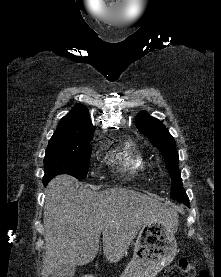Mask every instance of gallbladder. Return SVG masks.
Segmentation results:
<instances>
[{"label":"gallbladder","mask_w":221,"mask_h":277,"mask_svg":"<svg viewBox=\"0 0 221 277\" xmlns=\"http://www.w3.org/2000/svg\"><path fill=\"white\" fill-rule=\"evenodd\" d=\"M75 269V266L72 265H61L53 272L51 277H73Z\"/></svg>","instance_id":"1"}]
</instances>
